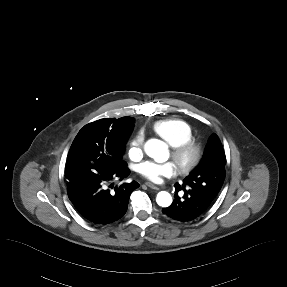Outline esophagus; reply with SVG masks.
<instances>
[{
  "label": "esophagus",
  "mask_w": 287,
  "mask_h": 287,
  "mask_svg": "<svg viewBox=\"0 0 287 287\" xmlns=\"http://www.w3.org/2000/svg\"><path fill=\"white\" fill-rule=\"evenodd\" d=\"M146 185H147L149 188L154 189V190H156V191H159V190H160L159 187H157L156 185H154V184H152V183H150V182H147Z\"/></svg>",
  "instance_id": "esophagus-1"
}]
</instances>
